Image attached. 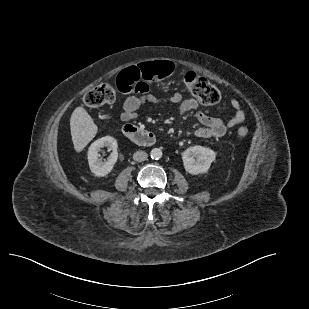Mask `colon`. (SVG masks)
I'll return each instance as SVG.
<instances>
[{"instance_id":"5ec220e1","label":"colon","mask_w":309,"mask_h":309,"mask_svg":"<svg viewBox=\"0 0 309 309\" xmlns=\"http://www.w3.org/2000/svg\"><path fill=\"white\" fill-rule=\"evenodd\" d=\"M173 71V65L169 61H153L143 63L139 66L131 67L120 73V76L127 75L135 84V90L141 88L146 82L162 80L169 76ZM183 82L188 91L202 104L214 105L220 101L218 89L207 79L190 71L184 74ZM117 86L120 91L128 92L131 89L123 85ZM116 98V90L109 83L100 84L84 95V103L91 108H98L112 103ZM239 137H245L248 134L246 127H240L237 130Z\"/></svg>"}]
</instances>
